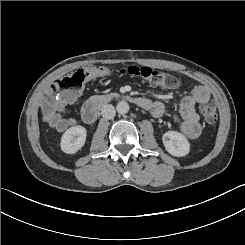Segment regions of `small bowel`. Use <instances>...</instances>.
<instances>
[{
    "label": "small bowel",
    "mask_w": 245,
    "mask_h": 245,
    "mask_svg": "<svg viewBox=\"0 0 245 245\" xmlns=\"http://www.w3.org/2000/svg\"><path fill=\"white\" fill-rule=\"evenodd\" d=\"M52 96L51 89L45 91V95L41 101V108L43 112V120L50 127L57 132H63L67 128L76 124L75 117H65V113L68 105L73 103L76 99V95L72 97L59 96L52 108L46 106V102L49 97ZM210 93L207 88L198 86L194 89L192 95L185 96L180 102V130L188 138H197L201 134L200 117L196 113V103H205L209 100ZM151 113L155 117L162 116L167 112V107L161 102H153V106L150 109Z\"/></svg>",
    "instance_id": "1"
}]
</instances>
